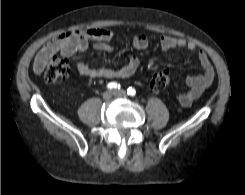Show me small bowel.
Here are the masks:
<instances>
[{"label":"small bowel","mask_w":245,"mask_h":195,"mask_svg":"<svg viewBox=\"0 0 245 195\" xmlns=\"http://www.w3.org/2000/svg\"><path fill=\"white\" fill-rule=\"evenodd\" d=\"M113 33L105 28H90L62 33L51 39L37 54L34 61V71L40 73L49 58L61 53L66 57H73L83 53L90 42L94 43L95 49L109 52L113 49L110 41ZM163 50H174L185 48L190 52L196 50L193 42L173 35H164L160 39ZM136 49H145L148 46V39L145 35H137L132 40ZM198 60L202 69L199 75H191L186 78L188 89L182 92L178 101L181 106L187 107L193 103L211 85L214 79V68L205 51L200 50ZM140 66V60L135 55H130L125 66L119 69L108 67H91L83 61L77 62V70L81 75L89 78H126L132 76Z\"/></svg>","instance_id":"obj_1"}]
</instances>
